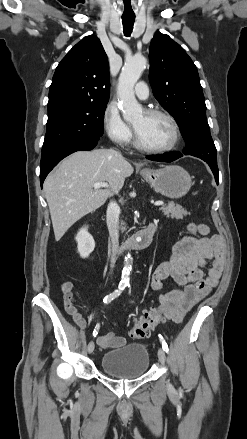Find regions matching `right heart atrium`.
I'll list each match as a JSON object with an SVG mask.
<instances>
[{
    "label": "right heart atrium",
    "mask_w": 247,
    "mask_h": 439,
    "mask_svg": "<svg viewBox=\"0 0 247 439\" xmlns=\"http://www.w3.org/2000/svg\"><path fill=\"white\" fill-rule=\"evenodd\" d=\"M102 124L105 133L111 141L119 145H125L131 138L132 131L129 125L122 119L116 106L109 104L103 113Z\"/></svg>",
    "instance_id": "right-heart-atrium-1"
}]
</instances>
